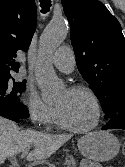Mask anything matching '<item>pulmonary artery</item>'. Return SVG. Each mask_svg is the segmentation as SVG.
Masks as SVG:
<instances>
[{
  "instance_id": "e3ab8cb5",
  "label": "pulmonary artery",
  "mask_w": 125,
  "mask_h": 167,
  "mask_svg": "<svg viewBox=\"0 0 125 167\" xmlns=\"http://www.w3.org/2000/svg\"><path fill=\"white\" fill-rule=\"evenodd\" d=\"M51 62L62 72H72L75 67V57L72 49L68 46H62L52 55Z\"/></svg>"
}]
</instances>
